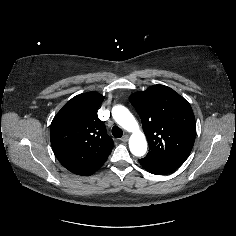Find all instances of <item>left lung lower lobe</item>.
<instances>
[{
    "instance_id": "1",
    "label": "left lung lower lobe",
    "mask_w": 236,
    "mask_h": 236,
    "mask_svg": "<svg viewBox=\"0 0 236 236\" xmlns=\"http://www.w3.org/2000/svg\"><path fill=\"white\" fill-rule=\"evenodd\" d=\"M139 162L148 172L152 174H156V175H164L176 169V168H171V167H157V166L148 164L142 161L141 159H139Z\"/></svg>"
}]
</instances>
